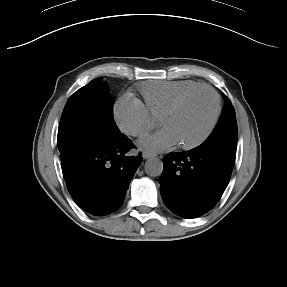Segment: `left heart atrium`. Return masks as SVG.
<instances>
[{"label":"left heart atrium","instance_id":"left-heart-atrium-1","mask_svg":"<svg viewBox=\"0 0 287 287\" xmlns=\"http://www.w3.org/2000/svg\"><path fill=\"white\" fill-rule=\"evenodd\" d=\"M177 143L173 133L169 129L163 128L159 132L142 139L139 146L149 152H160L172 148Z\"/></svg>","mask_w":287,"mask_h":287}]
</instances>
